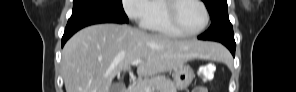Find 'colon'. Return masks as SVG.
<instances>
[{
    "mask_svg": "<svg viewBox=\"0 0 296 92\" xmlns=\"http://www.w3.org/2000/svg\"><path fill=\"white\" fill-rule=\"evenodd\" d=\"M214 69L211 66H207L199 70V75L206 80H209L213 76ZM193 92H208V89L204 86H199L193 89Z\"/></svg>",
    "mask_w": 296,
    "mask_h": 92,
    "instance_id": "5ec220e1",
    "label": "colon"
}]
</instances>
